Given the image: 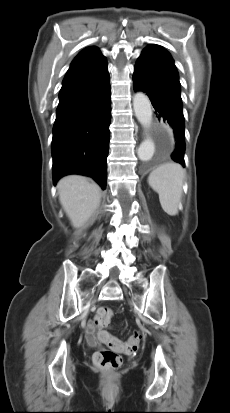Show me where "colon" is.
Returning <instances> with one entry per match:
<instances>
[{
    "label": "colon",
    "instance_id": "colon-1",
    "mask_svg": "<svg viewBox=\"0 0 230 413\" xmlns=\"http://www.w3.org/2000/svg\"><path fill=\"white\" fill-rule=\"evenodd\" d=\"M112 319V311L106 306H100L95 314V325L99 328L108 325ZM144 334L140 331H135L125 343L121 345L119 340L115 337H111L109 340V348H99L94 354L95 364L108 371L112 372L116 370L122 364V357L118 351L122 350L126 354L135 353L143 339Z\"/></svg>",
    "mask_w": 230,
    "mask_h": 413
}]
</instances>
